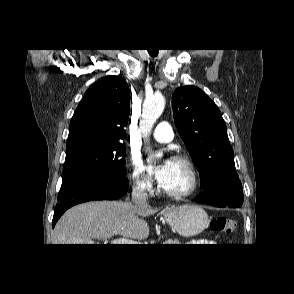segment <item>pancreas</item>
<instances>
[{"label":"pancreas","mask_w":294,"mask_h":294,"mask_svg":"<svg viewBox=\"0 0 294 294\" xmlns=\"http://www.w3.org/2000/svg\"><path fill=\"white\" fill-rule=\"evenodd\" d=\"M169 244H178V242L173 241V242H169Z\"/></svg>","instance_id":"obj_1"}]
</instances>
